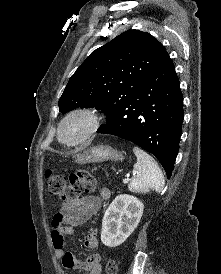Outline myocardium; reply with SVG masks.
Wrapping results in <instances>:
<instances>
[{"mask_svg": "<svg viewBox=\"0 0 221 274\" xmlns=\"http://www.w3.org/2000/svg\"><path fill=\"white\" fill-rule=\"evenodd\" d=\"M80 120L84 123L85 128L74 140H66L63 137L65 126L73 121ZM101 125V117L95 108L91 107H78L70 110L60 120L57 127V140L60 144L67 147H74L87 141Z\"/></svg>", "mask_w": 221, "mask_h": 274, "instance_id": "1", "label": "myocardium"}]
</instances>
